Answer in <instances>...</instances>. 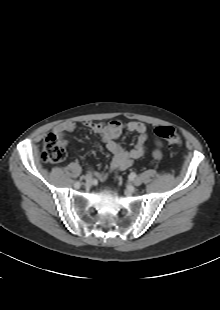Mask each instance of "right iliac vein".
<instances>
[{"label": "right iliac vein", "instance_id": "63e3f726", "mask_svg": "<svg viewBox=\"0 0 220 310\" xmlns=\"http://www.w3.org/2000/svg\"><path fill=\"white\" fill-rule=\"evenodd\" d=\"M85 182L87 185H91L92 183V176L91 175H86L85 176Z\"/></svg>", "mask_w": 220, "mask_h": 310}]
</instances>
